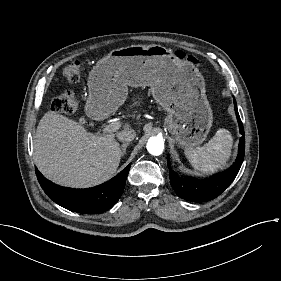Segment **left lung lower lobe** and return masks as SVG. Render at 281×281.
Segmentation results:
<instances>
[{
  "mask_svg": "<svg viewBox=\"0 0 281 281\" xmlns=\"http://www.w3.org/2000/svg\"><path fill=\"white\" fill-rule=\"evenodd\" d=\"M234 107L242 136L239 142L237 159L228 170L214 175L206 180H198L192 177H180L170 168V160L167 157L170 184L179 197L193 202L209 201L220 195L235 179L244 160L245 134L235 100Z\"/></svg>",
  "mask_w": 281,
  "mask_h": 281,
  "instance_id": "0a47b994",
  "label": "left lung lower lobe"
}]
</instances>
